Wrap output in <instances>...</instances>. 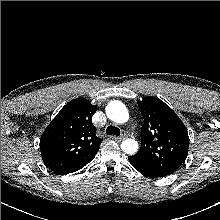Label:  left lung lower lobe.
<instances>
[{"instance_id": "left-lung-lower-lobe-1", "label": "left lung lower lobe", "mask_w": 220, "mask_h": 220, "mask_svg": "<svg viewBox=\"0 0 220 220\" xmlns=\"http://www.w3.org/2000/svg\"><path fill=\"white\" fill-rule=\"evenodd\" d=\"M128 159L131 163V165L140 173H142L145 176L156 178V177H165L167 175H170L169 173L165 172L164 170H161L157 166L145 161L144 159L134 155V156H128Z\"/></svg>"}]
</instances>
